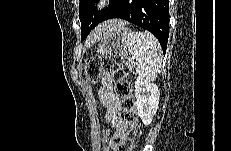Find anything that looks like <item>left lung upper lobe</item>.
<instances>
[{
    "label": "left lung upper lobe",
    "mask_w": 231,
    "mask_h": 151,
    "mask_svg": "<svg viewBox=\"0 0 231 151\" xmlns=\"http://www.w3.org/2000/svg\"><path fill=\"white\" fill-rule=\"evenodd\" d=\"M117 1L110 0L108 8L96 11L94 6L97 0H80L79 19L81 21V40L86 38L90 31L100 23L102 17L113 8Z\"/></svg>",
    "instance_id": "obj_1"
}]
</instances>
